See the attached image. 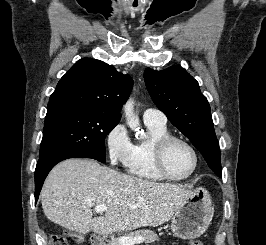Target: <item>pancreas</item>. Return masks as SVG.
Masks as SVG:
<instances>
[{
    "label": "pancreas",
    "mask_w": 266,
    "mask_h": 245,
    "mask_svg": "<svg viewBox=\"0 0 266 245\" xmlns=\"http://www.w3.org/2000/svg\"><path fill=\"white\" fill-rule=\"evenodd\" d=\"M129 237H143L145 239L143 243H155V241H159V237L154 231H134V233H130ZM108 245H119V243L118 241H109Z\"/></svg>",
    "instance_id": "obj_1"
}]
</instances>
